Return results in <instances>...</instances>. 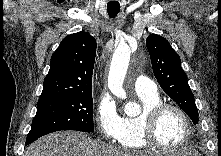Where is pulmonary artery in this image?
I'll return each mask as SVG.
<instances>
[{
  "mask_svg": "<svg viewBox=\"0 0 221 156\" xmlns=\"http://www.w3.org/2000/svg\"><path fill=\"white\" fill-rule=\"evenodd\" d=\"M134 88L137 94L153 95L157 93L156 84L146 76H138Z\"/></svg>",
  "mask_w": 221,
  "mask_h": 156,
  "instance_id": "pulmonary-artery-1",
  "label": "pulmonary artery"
}]
</instances>
